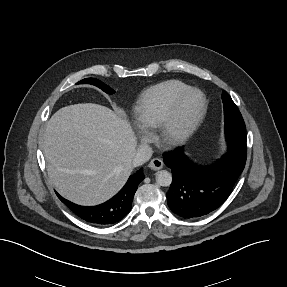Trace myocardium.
Here are the masks:
<instances>
[{
    "label": "myocardium",
    "instance_id": "obj_1",
    "mask_svg": "<svg viewBox=\"0 0 287 287\" xmlns=\"http://www.w3.org/2000/svg\"><path fill=\"white\" fill-rule=\"evenodd\" d=\"M189 96H194L195 103L189 118L179 127H175V121L180 112V108ZM206 109V99L204 94L197 88L189 87L178 94L158 126L159 140L171 147L184 144L200 125Z\"/></svg>",
    "mask_w": 287,
    "mask_h": 287
}]
</instances>
